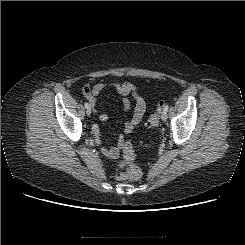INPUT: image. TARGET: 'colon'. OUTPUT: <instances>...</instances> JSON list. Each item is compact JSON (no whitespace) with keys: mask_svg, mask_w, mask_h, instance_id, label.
<instances>
[{"mask_svg":"<svg viewBox=\"0 0 245 245\" xmlns=\"http://www.w3.org/2000/svg\"><path fill=\"white\" fill-rule=\"evenodd\" d=\"M84 93L89 94L90 89L88 86L84 87ZM165 102L161 101L156 110L151 113L146 121V126L155 127L159 123V115L163 109ZM123 159L121 161V166L126 170L123 173L117 175L118 179L123 180H138L142 176L141 169L135 164V153L134 148L131 143L125 142L122 144Z\"/></svg>","mask_w":245,"mask_h":245,"instance_id":"obj_1","label":"colon"}]
</instances>
